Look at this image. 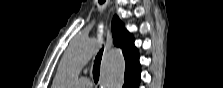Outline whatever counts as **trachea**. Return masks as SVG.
Here are the masks:
<instances>
[{"label": "trachea", "mask_w": 223, "mask_h": 88, "mask_svg": "<svg viewBox=\"0 0 223 88\" xmlns=\"http://www.w3.org/2000/svg\"><path fill=\"white\" fill-rule=\"evenodd\" d=\"M100 4L104 3V0H98ZM102 54H103V49H101L94 61V66H93V78H94V82L97 83L99 80V75H100V62H101V58H102Z\"/></svg>", "instance_id": "1"}]
</instances>
